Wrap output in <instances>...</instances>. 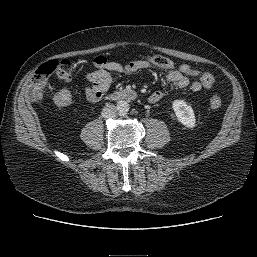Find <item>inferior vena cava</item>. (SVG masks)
I'll use <instances>...</instances> for the list:
<instances>
[{
	"mask_svg": "<svg viewBox=\"0 0 257 257\" xmlns=\"http://www.w3.org/2000/svg\"><path fill=\"white\" fill-rule=\"evenodd\" d=\"M117 115V109L116 106L113 104H107L103 109H102V116L104 118H114Z\"/></svg>",
	"mask_w": 257,
	"mask_h": 257,
	"instance_id": "602c4592",
	"label": "inferior vena cava"
}]
</instances>
